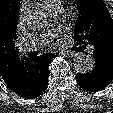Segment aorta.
Instances as JSON below:
<instances>
[{"label": "aorta", "instance_id": "aorta-1", "mask_svg": "<svg viewBox=\"0 0 113 113\" xmlns=\"http://www.w3.org/2000/svg\"><path fill=\"white\" fill-rule=\"evenodd\" d=\"M25 16L29 19L36 20L38 19V12L36 10L30 9L25 13ZM42 20H47V17L44 15ZM74 69L80 74H86L91 72L94 69L95 61L94 58L90 55L79 54L74 58L73 61Z\"/></svg>", "mask_w": 113, "mask_h": 113}]
</instances>
